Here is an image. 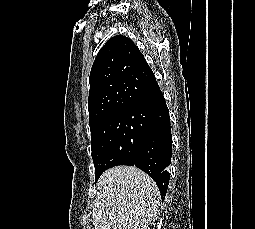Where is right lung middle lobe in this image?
<instances>
[{
    "label": "right lung middle lobe",
    "mask_w": 255,
    "mask_h": 229,
    "mask_svg": "<svg viewBox=\"0 0 255 229\" xmlns=\"http://www.w3.org/2000/svg\"><path fill=\"white\" fill-rule=\"evenodd\" d=\"M144 133L143 119L130 114L127 109L101 123L91 134L95 181L111 167L132 163L137 156Z\"/></svg>",
    "instance_id": "right-lung-middle-lobe-1"
}]
</instances>
